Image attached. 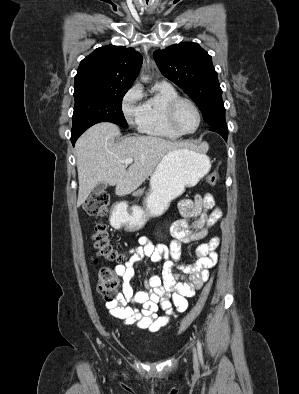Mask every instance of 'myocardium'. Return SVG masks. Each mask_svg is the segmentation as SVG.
<instances>
[{
	"instance_id": "1",
	"label": "myocardium",
	"mask_w": 299,
	"mask_h": 394,
	"mask_svg": "<svg viewBox=\"0 0 299 394\" xmlns=\"http://www.w3.org/2000/svg\"><path fill=\"white\" fill-rule=\"evenodd\" d=\"M182 103L189 104L195 110V112L198 116V124H197V127L193 131H190V132L183 131L177 124L176 114H177V110H178L179 106ZM166 119H167V123H168L169 127L173 131L178 133L179 135H191V134L196 133L199 130V128L201 127L202 113H201L199 107L197 106V104L194 101H192L191 99L185 98V97H177L168 104V106L166 108Z\"/></svg>"
}]
</instances>
